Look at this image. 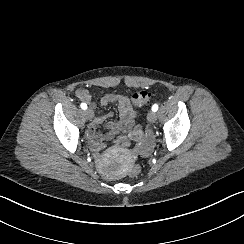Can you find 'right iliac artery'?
Instances as JSON below:
<instances>
[{
	"mask_svg": "<svg viewBox=\"0 0 244 244\" xmlns=\"http://www.w3.org/2000/svg\"><path fill=\"white\" fill-rule=\"evenodd\" d=\"M81 108L83 109V110H86L87 109V105L85 104V103H81Z\"/></svg>",
	"mask_w": 244,
	"mask_h": 244,
	"instance_id": "obj_1",
	"label": "right iliac artery"
}]
</instances>
